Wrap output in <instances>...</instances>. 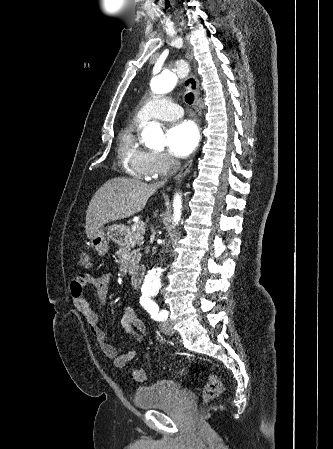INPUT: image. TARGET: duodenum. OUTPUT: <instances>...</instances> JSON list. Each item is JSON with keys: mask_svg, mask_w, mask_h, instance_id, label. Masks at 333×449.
<instances>
[{"mask_svg": "<svg viewBox=\"0 0 333 449\" xmlns=\"http://www.w3.org/2000/svg\"><path fill=\"white\" fill-rule=\"evenodd\" d=\"M143 279V271L140 268H133L130 271V283L134 289H139Z\"/></svg>", "mask_w": 333, "mask_h": 449, "instance_id": "410a0bca", "label": "duodenum"}]
</instances>
